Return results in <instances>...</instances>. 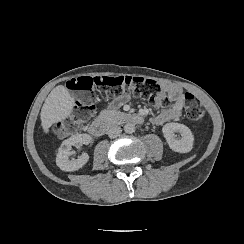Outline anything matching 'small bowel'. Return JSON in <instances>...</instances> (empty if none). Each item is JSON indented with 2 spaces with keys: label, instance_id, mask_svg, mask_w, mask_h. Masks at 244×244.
<instances>
[{
  "label": "small bowel",
  "instance_id": "c3829d8e",
  "mask_svg": "<svg viewBox=\"0 0 244 244\" xmlns=\"http://www.w3.org/2000/svg\"><path fill=\"white\" fill-rule=\"evenodd\" d=\"M162 88L171 104L152 118V123L155 125H163L170 121L179 120L182 117L186 104L185 94L179 85L164 82ZM130 98V93L126 92L122 96L114 99L113 105L119 107L129 101ZM156 103L160 104L159 102Z\"/></svg>",
  "mask_w": 244,
  "mask_h": 244
}]
</instances>
